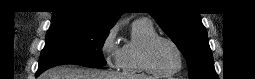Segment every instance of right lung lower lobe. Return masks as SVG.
<instances>
[{"mask_svg": "<svg viewBox=\"0 0 255 79\" xmlns=\"http://www.w3.org/2000/svg\"><path fill=\"white\" fill-rule=\"evenodd\" d=\"M40 73H41V72L37 71L36 76H37L38 74H40Z\"/></svg>", "mask_w": 255, "mask_h": 79, "instance_id": "obj_1", "label": "right lung lower lobe"}]
</instances>
